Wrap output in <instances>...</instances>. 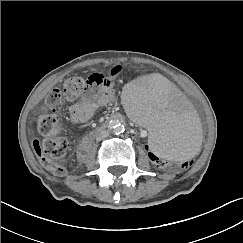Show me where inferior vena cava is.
Here are the masks:
<instances>
[{
  "instance_id": "obj_1",
  "label": "inferior vena cava",
  "mask_w": 243,
  "mask_h": 243,
  "mask_svg": "<svg viewBox=\"0 0 243 243\" xmlns=\"http://www.w3.org/2000/svg\"><path fill=\"white\" fill-rule=\"evenodd\" d=\"M108 135H109V132H108V131H106V130L101 131L100 133H98V134L96 135V140H97V141H101V140H103L104 138L108 137Z\"/></svg>"
}]
</instances>
